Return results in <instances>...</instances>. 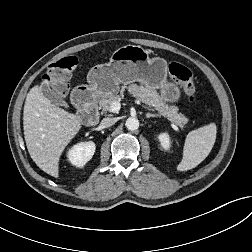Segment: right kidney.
Returning a JSON list of instances; mask_svg holds the SVG:
<instances>
[{
  "label": "right kidney",
  "instance_id": "1",
  "mask_svg": "<svg viewBox=\"0 0 252 252\" xmlns=\"http://www.w3.org/2000/svg\"><path fill=\"white\" fill-rule=\"evenodd\" d=\"M94 152V142H81L69 149L67 158L74 166L83 167L93 157Z\"/></svg>",
  "mask_w": 252,
  "mask_h": 252
}]
</instances>
